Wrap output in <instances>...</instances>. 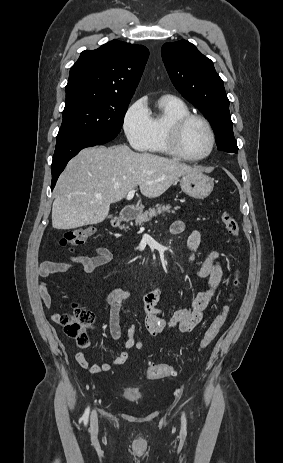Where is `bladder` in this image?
I'll return each instance as SVG.
<instances>
[{
  "instance_id": "31cf9c89",
  "label": "bladder",
  "mask_w": 283,
  "mask_h": 463,
  "mask_svg": "<svg viewBox=\"0 0 283 463\" xmlns=\"http://www.w3.org/2000/svg\"><path fill=\"white\" fill-rule=\"evenodd\" d=\"M122 397L127 401H137L143 397V394L137 388L126 387L122 390Z\"/></svg>"
}]
</instances>
